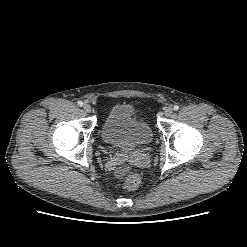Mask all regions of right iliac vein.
<instances>
[{
  "label": "right iliac vein",
  "mask_w": 247,
  "mask_h": 247,
  "mask_svg": "<svg viewBox=\"0 0 247 247\" xmlns=\"http://www.w3.org/2000/svg\"><path fill=\"white\" fill-rule=\"evenodd\" d=\"M83 109H84V111L87 112V113H90L91 110H92V108H91V106H90L89 104H85V105L83 106Z\"/></svg>",
  "instance_id": "1"
}]
</instances>
